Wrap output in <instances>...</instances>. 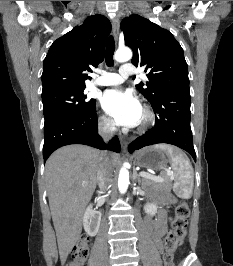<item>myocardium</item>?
I'll list each match as a JSON object with an SVG mask.
<instances>
[{"label":"myocardium","instance_id":"myocardium-1","mask_svg":"<svg viewBox=\"0 0 233 266\" xmlns=\"http://www.w3.org/2000/svg\"><path fill=\"white\" fill-rule=\"evenodd\" d=\"M143 119L139 123L138 131L143 132L149 129L155 120V114L150 106L143 105L142 107Z\"/></svg>","mask_w":233,"mask_h":266}]
</instances>
